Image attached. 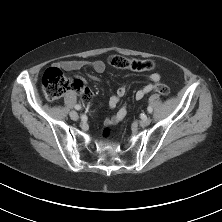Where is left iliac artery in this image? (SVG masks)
<instances>
[{"label":"left iliac artery","instance_id":"left-iliac-artery-1","mask_svg":"<svg viewBox=\"0 0 222 222\" xmlns=\"http://www.w3.org/2000/svg\"><path fill=\"white\" fill-rule=\"evenodd\" d=\"M147 110H148L149 113H151V112L153 111V109H152L151 106H149V107L147 108Z\"/></svg>","mask_w":222,"mask_h":222}]
</instances>
